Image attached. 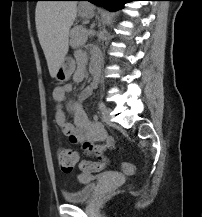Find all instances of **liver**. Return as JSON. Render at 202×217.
Wrapping results in <instances>:
<instances>
[{"label": "liver", "instance_id": "liver-1", "mask_svg": "<svg viewBox=\"0 0 202 217\" xmlns=\"http://www.w3.org/2000/svg\"><path fill=\"white\" fill-rule=\"evenodd\" d=\"M76 15L77 3L73 1L37 3L36 30L52 78L68 53L69 31Z\"/></svg>", "mask_w": 202, "mask_h": 217}]
</instances>
